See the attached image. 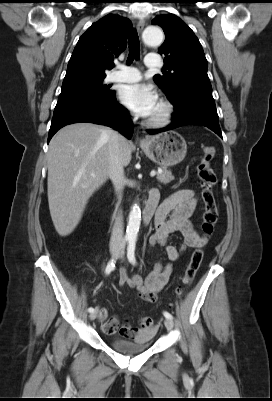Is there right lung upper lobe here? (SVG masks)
Returning <instances> with one entry per match:
<instances>
[{
	"instance_id": "cb5924a9",
	"label": "right lung upper lobe",
	"mask_w": 272,
	"mask_h": 401,
	"mask_svg": "<svg viewBox=\"0 0 272 401\" xmlns=\"http://www.w3.org/2000/svg\"><path fill=\"white\" fill-rule=\"evenodd\" d=\"M131 21L108 14L80 37L67 66L62 90L104 80L105 70L127 46Z\"/></svg>"
}]
</instances>
